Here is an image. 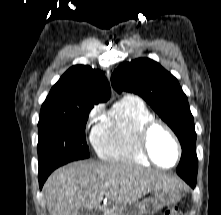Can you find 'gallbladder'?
Returning <instances> with one entry per match:
<instances>
[{
	"mask_svg": "<svg viewBox=\"0 0 221 215\" xmlns=\"http://www.w3.org/2000/svg\"><path fill=\"white\" fill-rule=\"evenodd\" d=\"M79 215H92L90 210L82 209Z\"/></svg>",
	"mask_w": 221,
	"mask_h": 215,
	"instance_id": "bac80fb5",
	"label": "gallbladder"
}]
</instances>
